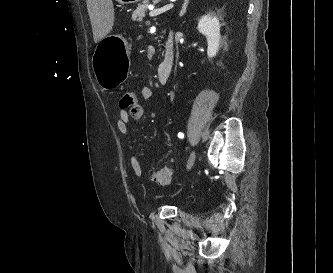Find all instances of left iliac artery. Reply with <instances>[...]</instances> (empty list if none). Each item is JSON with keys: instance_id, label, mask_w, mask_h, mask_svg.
<instances>
[{"instance_id": "obj_1", "label": "left iliac artery", "mask_w": 333, "mask_h": 273, "mask_svg": "<svg viewBox=\"0 0 333 273\" xmlns=\"http://www.w3.org/2000/svg\"><path fill=\"white\" fill-rule=\"evenodd\" d=\"M178 137H179L180 139H182V138H184V134L181 133V132H179V133H178Z\"/></svg>"}]
</instances>
